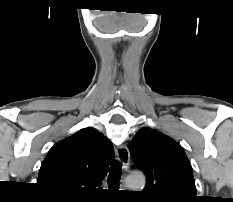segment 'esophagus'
I'll return each instance as SVG.
<instances>
[{
  "mask_svg": "<svg viewBox=\"0 0 233 202\" xmlns=\"http://www.w3.org/2000/svg\"><path fill=\"white\" fill-rule=\"evenodd\" d=\"M117 159L122 163L125 169L129 168L130 165V153L128 148L125 145H120L116 150Z\"/></svg>",
  "mask_w": 233,
  "mask_h": 202,
  "instance_id": "34e87169",
  "label": "esophagus"
}]
</instances>
